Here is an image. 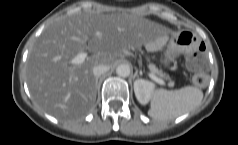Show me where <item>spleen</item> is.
I'll use <instances>...</instances> for the list:
<instances>
[{
	"mask_svg": "<svg viewBox=\"0 0 238 145\" xmlns=\"http://www.w3.org/2000/svg\"><path fill=\"white\" fill-rule=\"evenodd\" d=\"M202 99V90L194 86L170 91L157 89L152 93L148 115L160 121L173 120L198 107Z\"/></svg>",
	"mask_w": 238,
	"mask_h": 145,
	"instance_id": "3e777b00",
	"label": "spleen"
}]
</instances>
